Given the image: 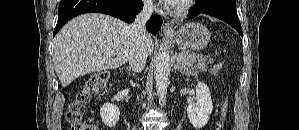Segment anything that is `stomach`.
I'll return each instance as SVG.
<instances>
[{
    "label": "stomach",
    "mask_w": 299,
    "mask_h": 130,
    "mask_svg": "<svg viewBox=\"0 0 299 130\" xmlns=\"http://www.w3.org/2000/svg\"><path fill=\"white\" fill-rule=\"evenodd\" d=\"M176 44L194 51L202 50L210 41L211 34L200 23H186L167 35Z\"/></svg>",
    "instance_id": "0dacf381"
}]
</instances>
